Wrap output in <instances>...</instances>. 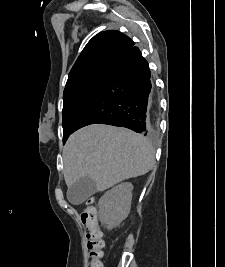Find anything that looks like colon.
<instances>
[{
  "instance_id": "1",
  "label": "colon",
  "mask_w": 225,
  "mask_h": 267,
  "mask_svg": "<svg viewBox=\"0 0 225 267\" xmlns=\"http://www.w3.org/2000/svg\"><path fill=\"white\" fill-rule=\"evenodd\" d=\"M81 220L87 227L89 249L88 267H103L105 240L97 221V212L93 205L86 204L81 213Z\"/></svg>"
}]
</instances>
